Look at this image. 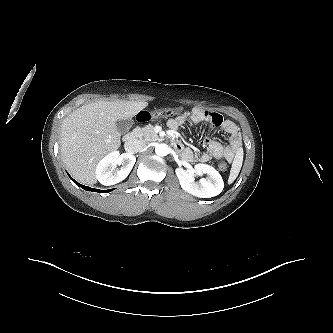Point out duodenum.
I'll return each instance as SVG.
<instances>
[{
    "label": "duodenum",
    "instance_id": "410a0bca",
    "mask_svg": "<svg viewBox=\"0 0 333 333\" xmlns=\"http://www.w3.org/2000/svg\"><path fill=\"white\" fill-rule=\"evenodd\" d=\"M138 137H139V132L137 130H132L130 131L129 133H127L125 135V146H126V149L127 150H133L135 145H136V142L138 140ZM173 144L176 145L177 144V141L174 140L173 141Z\"/></svg>",
    "mask_w": 333,
    "mask_h": 333
}]
</instances>
